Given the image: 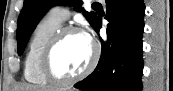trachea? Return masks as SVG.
I'll list each match as a JSON object with an SVG mask.
<instances>
[{"label":"trachea","instance_id":"trachea-1","mask_svg":"<svg viewBox=\"0 0 173 91\" xmlns=\"http://www.w3.org/2000/svg\"><path fill=\"white\" fill-rule=\"evenodd\" d=\"M92 6H93V7H101V4L98 3V2H94V3L92 4Z\"/></svg>","mask_w":173,"mask_h":91}]
</instances>
